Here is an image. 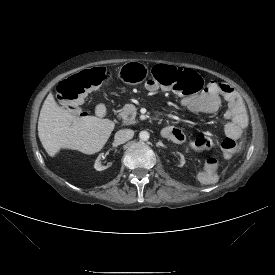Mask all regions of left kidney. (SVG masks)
I'll list each match as a JSON object with an SVG mask.
<instances>
[{"label":"left kidney","instance_id":"5707ae66","mask_svg":"<svg viewBox=\"0 0 275 275\" xmlns=\"http://www.w3.org/2000/svg\"><path fill=\"white\" fill-rule=\"evenodd\" d=\"M178 155L180 156V164H179V166L182 167V166H184V164H185L186 161H185L184 156L181 153H178Z\"/></svg>","mask_w":275,"mask_h":275}]
</instances>
